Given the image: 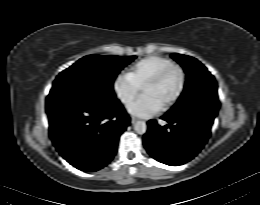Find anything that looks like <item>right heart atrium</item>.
I'll list each match as a JSON object with an SVG mask.
<instances>
[{
  "instance_id": "d8ad5b80",
  "label": "right heart atrium",
  "mask_w": 260,
  "mask_h": 205,
  "mask_svg": "<svg viewBox=\"0 0 260 205\" xmlns=\"http://www.w3.org/2000/svg\"><path fill=\"white\" fill-rule=\"evenodd\" d=\"M114 88L118 96L124 101L129 99L133 95V92L127 90L126 83L122 78H118L116 80Z\"/></svg>"
}]
</instances>
